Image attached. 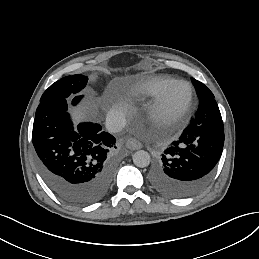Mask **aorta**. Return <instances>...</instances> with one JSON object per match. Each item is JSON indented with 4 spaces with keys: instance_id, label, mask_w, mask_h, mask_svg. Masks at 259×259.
<instances>
[{
    "instance_id": "762f6f07",
    "label": "aorta",
    "mask_w": 259,
    "mask_h": 259,
    "mask_svg": "<svg viewBox=\"0 0 259 259\" xmlns=\"http://www.w3.org/2000/svg\"><path fill=\"white\" fill-rule=\"evenodd\" d=\"M133 162L137 167L144 168L150 164V154L147 151H136L132 156Z\"/></svg>"
}]
</instances>
